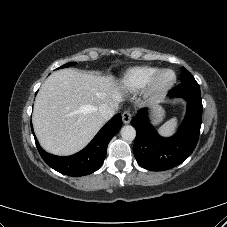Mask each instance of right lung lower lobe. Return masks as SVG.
I'll return each mask as SVG.
<instances>
[{"label": "right lung lower lobe", "instance_id": "right-lung-lower-lobe-1", "mask_svg": "<svg viewBox=\"0 0 227 227\" xmlns=\"http://www.w3.org/2000/svg\"><path fill=\"white\" fill-rule=\"evenodd\" d=\"M121 125L122 117L117 114L83 150L67 157L51 155L41 148L36 138L35 142L41 157L51 168L68 176L80 177L91 174L101 167L106 156L108 143Z\"/></svg>", "mask_w": 227, "mask_h": 227}]
</instances>
